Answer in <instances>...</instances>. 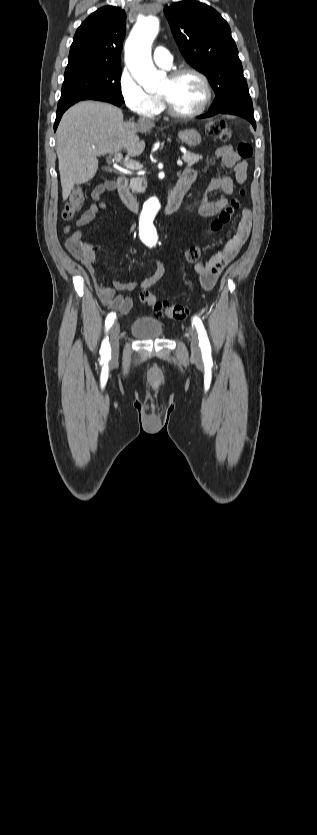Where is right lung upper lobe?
Segmentation results:
<instances>
[{"instance_id": "cb5924a9", "label": "right lung upper lobe", "mask_w": 317, "mask_h": 835, "mask_svg": "<svg viewBox=\"0 0 317 835\" xmlns=\"http://www.w3.org/2000/svg\"><path fill=\"white\" fill-rule=\"evenodd\" d=\"M126 13L105 6L92 13L77 29L68 66L76 64L120 66L125 37Z\"/></svg>"}]
</instances>
